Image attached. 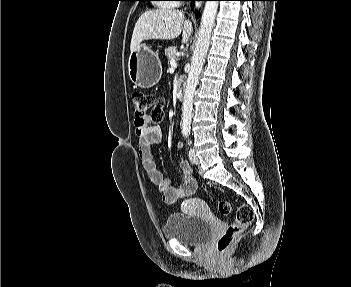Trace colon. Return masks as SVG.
I'll return each mask as SVG.
<instances>
[{"instance_id":"colon-1","label":"colon","mask_w":351,"mask_h":287,"mask_svg":"<svg viewBox=\"0 0 351 287\" xmlns=\"http://www.w3.org/2000/svg\"><path fill=\"white\" fill-rule=\"evenodd\" d=\"M136 120L160 122L163 117V99L153 94L135 91L132 95ZM218 210L222 215H229L231 205L227 201L218 202ZM253 210L250 206L242 204L237 208L234 221L228 225L225 231L216 241L217 250L223 253L231 243L239 236L253 219Z\"/></svg>"}]
</instances>
